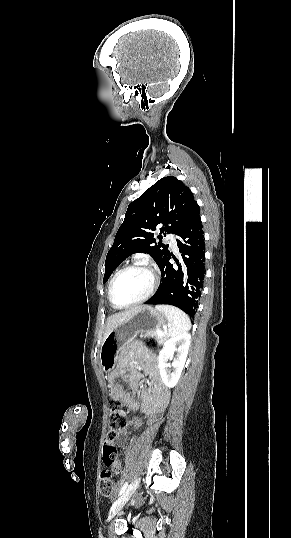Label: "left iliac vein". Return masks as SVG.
I'll list each match as a JSON object with an SVG mask.
<instances>
[{"instance_id":"obj_1","label":"left iliac vein","mask_w":291,"mask_h":538,"mask_svg":"<svg viewBox=\"0 0 291 538\" xmlns=\"http://www.w3.org/2000/svg\"><path fill=\"white\" fill-rule=\"evenodd\" d=\"M139 482L140 477H136L134 481L129 485L124 495L118 501L115 502V504L110 510L109 519L113 518L119 512V510L128 502V500L132 497L136 488L138 487Z\"/></svg>"}]
</instances>
